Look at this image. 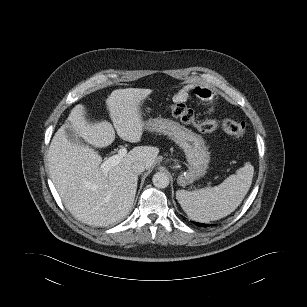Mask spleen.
I'll return each mask as SVG.
<instances>
[{
  "label": "spleen",
  "mask_w": 307,
  "mask_h": 307,
  "mask_svg": "<svg viewBox=\"0 0 307 307\" xmlns=\"http://www.w3.org/2000/svg\"><path fill=\"white\" fill-rule=\"evenodd\" d=\"M254 167L246 163L221 184L197 191L178 190L176 198L183 211L192 220L209 222L232 213L249 191Z\"/></svg>",
  "instance_id": "obj_1"
}]
</instances>
